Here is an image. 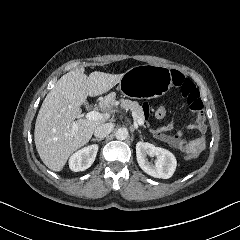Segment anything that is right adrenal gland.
I'll list each match as a JSON object with an SVG mask.
<instances>
[{"label":"right adrenal gland","mask_w":240,"mask_h":240,"mask_svg":"<svg viewBox=\"0 0 240 240\" xmlns=\"http://www.w3.org/2000/svg\"><path fill=\"white\" fill-rule=\"evenodd\" d=\"M93 141H100V138H92Z\"/></svg>","instance_id":"obj_1"}]
</instances>
